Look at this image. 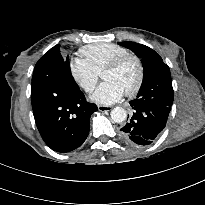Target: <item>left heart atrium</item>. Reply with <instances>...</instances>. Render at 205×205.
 <instances>
[{
  "label": "left heart atrium",
  "instance_id": "39dd6f15",
  "mask_svg": "<svg viewBox=\"0 0 205 205\" xmlns=\"http://www.w3.org/2000/svg\"><path fill=\"white\" fill-rule=\"evenodd\" d=\"M124 92L122 87L117 83L113 81H104L92 94L91 99L97 103L109 105L120 100Z\"/></svg>",
  "mask_w": 205,
  "mask_h": 205
}]
</instances>
